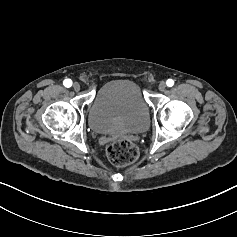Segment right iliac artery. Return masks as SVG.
<instances>
[{
    "instance_id": "1",
    "label": "right iliac artery",
    "mask_w": 237,
    "mask_h": 237,
    "mask_svg": "<svg viewBox=\"0 0 237 237\" xmlns=\"http://www.w3.org/2000/svg\"><path fill=\"white\" fill-rule=\"evenodd\" d=\"M63 85L67 88L71 87L72 86V80L71 79H65L63 81Z\"/></svg>"
}]
</instances>
